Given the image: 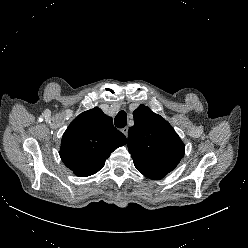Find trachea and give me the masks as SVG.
I'll list each match as a JSON object with an SVG mask.
<instances>
[{
    "label": "trachea",
    "instance_id": "obj_1",
    "mask_svg": "<svg viewBox=\"0 0 248 248\" xmlns=\"http://www.w3.org/2000/svg\"><path fill=\"white\" fill-rule=\"evenodd\" d=\"M115 126L117 128H124L127 124V114L125 111H120L114 120Z\"/></svg>",
    "mask_w": 248,
    "mask_h": 248
}]
</instances>
